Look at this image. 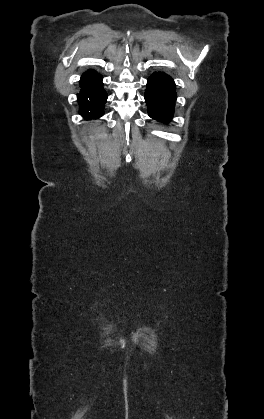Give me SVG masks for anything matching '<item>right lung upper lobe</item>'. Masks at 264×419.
I'll list each match as a JSON object with an SVG mask.
<instances>
[{"instance_id":"cb5924a9","label":"right lung upper lobe","mask_w":264,"mask_h":419,"mask_svg":"<svg viewBox=\"0 0 264 419\" xmlns=\"http://www.w3.org/2000/svg\"><path fill=\"white\" fill-rule=\"evenodd\" d=\"M96 75H98V73L96 71L89 70L82 75L81 81L91 79V78L95 77Z\"/></svg>"}]
</instances>
